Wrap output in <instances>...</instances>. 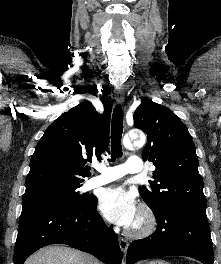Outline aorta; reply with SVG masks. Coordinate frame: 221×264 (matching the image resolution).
Returning <instances> with one entry per match:
<instances>
[{
	"label": "aorta",
	"instance_id": "1",
	"mask_svg": "<svg viewBox=\"0 0 221 264\" xmlns=\"http://www.w3.org/2000/svg\"><path fill=\"white\" fill-rule=\"evenodd\" d=\"M134 145L135 146H142L145 143V136L144 135H139L138 137L134 136ZM124 145L125 147L129 148L130 147V141L129 139L124 140Z\"/></svg>",
	"mask_w": 221,
	"mask_h": 264
}]
</instances>
